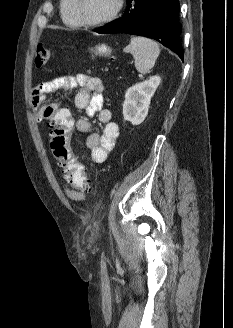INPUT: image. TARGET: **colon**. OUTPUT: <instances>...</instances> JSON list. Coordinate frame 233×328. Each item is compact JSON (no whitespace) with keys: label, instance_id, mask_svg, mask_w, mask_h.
I'll use <instances>...</instances> for the list:
<instances>
[{"label":"colon","instance_id":"obj_1","mask_svg":"<svg viewBox=\"0 0 233 328\" xmlns=\"http://www.w3.org/2000/svg\"><path fill=\"white\" fill-rule=\"evenodd\" d=\"M50 56V50L39 44L35 52V66L37 68L44 66ZM47 121L51 128L49 133L50 148L58 163L66 170L70 186L77 190L87 191L89 184L85 169L75 158L70 148V138L75 126L73 116L66 109H58Z\"/></svg>","mask_w":233,"mask_h":328}]
</instances>
